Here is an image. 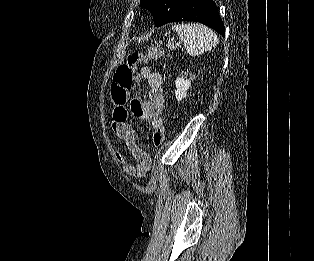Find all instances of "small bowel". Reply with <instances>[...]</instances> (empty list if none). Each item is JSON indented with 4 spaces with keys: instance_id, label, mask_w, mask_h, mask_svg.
Instances as JSON below:
<instances>
[{
    "instance_id": "1",
    "label": "small bowel",
    "mask_w": 314,
    "mask_h": 261,
    "mask_svg": "<svg viewBox=\"0 0 314 261\" xmlns=\"http://www.w3.org/2000/svg\"><path fill=\"white\" fill-rule=\"evenodd\" d=\"M139 77L148 86V99L136 98L130 102L113 104L111 126L114 134L119 138L131 156V160L123 152H118V160L122 163L123 172L135 179H141L149 172L152 166V157L142 147L134 128L128 122L130 116L147 120L155 129L163 124L161 112L165 103L163 90V78L159 73L151 71L148 67H142Z\"/></svg>"
}]
</instances>
